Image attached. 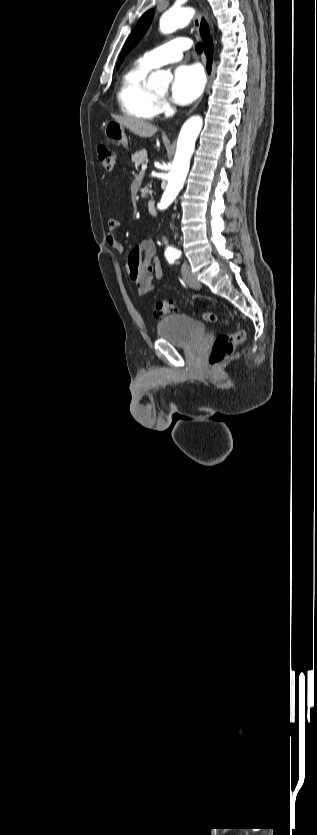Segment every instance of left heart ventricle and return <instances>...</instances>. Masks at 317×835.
Masks as SVG:
<instances>
[{
	"label": "left heart ventricle",
	"instance_id": "1",
	"mask_svg": "<svg viewBox=\"0 0 317 835\" xmlns=\"http://www.w3.org/2000/svg\"><path fill=\"white\" fill-rule=\"evenodd\" d=\"M159 93H160V94H164V93H165V90H160V91H159Z\"/></svg>",
	"mask_w": 317,
	"mask_h": 835
}]
</instances>
